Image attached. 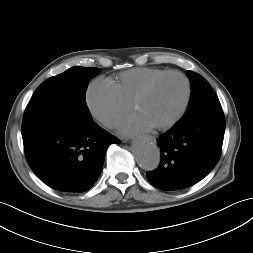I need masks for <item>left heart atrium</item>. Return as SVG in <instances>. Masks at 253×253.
Segmentation results:
<instances>
[{"instance_id":"1","label":"left heart atrium","mask_w":253,"mask_h":253,"mask_svg":"<svg viewBox=\"0 0 253 253\" xmlns=\"http://www.w3.org/2000/svg\"><path fill=\"white\" fill-rule=\"evenodd\" d=\"M153 125L149 123L143 116L134 114L122 120L118 128L121 133L125 135L135 134L152 128Z\"/></svg>"}]
</instances>
